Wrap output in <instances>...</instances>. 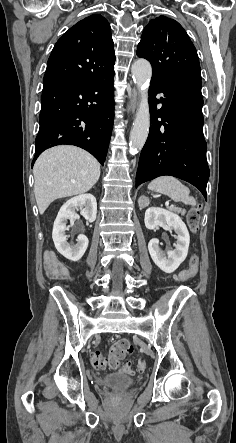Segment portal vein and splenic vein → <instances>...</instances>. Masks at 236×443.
Here are the masks:
<instances>
[{"label": "portal vein and splenic vein", "instance_id": "obj_1", "mask_svg": "<svg viewBox=\"0 0 236 443\" xmlns=\"http://www.w3.org/2000/svg\"><path fill=\"white\" fill-rule=\"evenodd\" d=\"M166 206H167V207L169 206V203H168V202L166 203Z\"/></svg>", "mask_w": 236, "mask_h": 443}]
</instances>
